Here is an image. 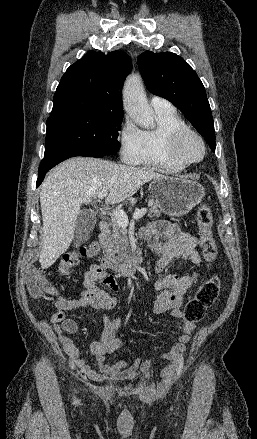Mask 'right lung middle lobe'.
Instances as JSON below:
<instances>
[{"label":"right lung middle lobe","mask_w":257,"mask_h":439,"mask_svg":"<svg viewBox=\"0 0 257 439\" xmlns=\"http://www.w3.org/2000/svg\"><path fill=\"white\" fill-rule=\"evenodd\" d=\"M122 118V113L89 110L49 117L44 158L76 152L116 153L120 148L117 138Z\"/></svg>","instance_id":"obj_1"}]
</instances>
